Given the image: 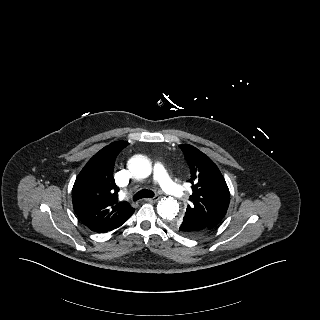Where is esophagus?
I'll return each mask as SVG.
<instances>
[{"mask_svg":"<svg viewBox=\"0 0 320 320\" xmlns=\"http://www.w3.org/2000/svg\"><path fill=\"white\" fill-rule=\"evenodd\" d=\"M159 200V197H153V198H146L145 201L155 203Z\"/></svg>","mask_w":320,"mask_h":320,"instance_id":"1","label":"esophagus"}]
</instances>
